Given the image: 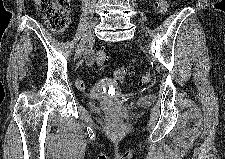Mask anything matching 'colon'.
I'll use <instances>...</instances> for the list:
<instances>
[{
	"instance_id": "colon-1",
	"label": "colon",
	"mask_w": 225,
	"mask_h": 159,
	"mask_svg": "<svg viewBox=\"0 0 225 159\" xmlns=\"http://www.w3.org/2000/svg\"><path fill=\"white\" fill-rule=\"evenodd\" d=\"M156 5L162 15L168 12V3L166 0H157ZM36 7L52 32L60 33L69 24L70 0H37ZM95 60L98 65L104 67L108 63V55L104 50L97 49L95 51ZM126 75V68L120 67L114 71V78L118 81L124 80ZM151 79V74L144 72L139 76L137 84H147Z\"/></svg>"
}]
</instances>
